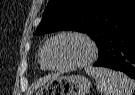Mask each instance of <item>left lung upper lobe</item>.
<instances>
[{
    "mask_svg": "<svg viewBox=\"0 0 135 95\" xmlns=\"http://www.w3.org/2000/svg\"><path fill=\"white\" fill-rule=\"evenodd\" d=\"M135 18V0H50L35 32L58 30L88 34L97 44Z\"/></svg>",
    "mask_w": 135,
    "mask_h": 95,
    "instance_id": "5c2ea615",
    "label": "left lung upper lobe"
}]
</instances>
